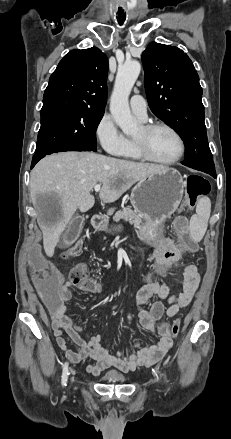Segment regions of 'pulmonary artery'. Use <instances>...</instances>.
Returning a JSON list of instances; mask_svg holds the SVG:
<instances>
[{"label":"pulmonary artery","mask_w":231,"mask_h":439,"mask_svg":"<svg viewBox=\"0 0 231 439\" xmlns=\"http://www.w3.org/2000/svg\"><path fill=\"white\" fill-rule=\"evenodd\" d=\"M132 113L140 120L147 118V104L145 99L140 95H133L130 99Z\"/></svg>","instance_id":"e3ab8cb5"}]
</instances>
